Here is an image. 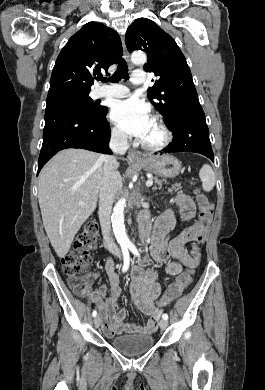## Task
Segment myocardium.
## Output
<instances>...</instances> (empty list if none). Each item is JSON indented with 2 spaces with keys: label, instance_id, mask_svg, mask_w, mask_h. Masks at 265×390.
<instances>
[{
  "label": "myocardium",
  "instance_id": "myocardium-1",
  "mask_svg": "<svg viewBox=\"0 0 265 390\" xmlns=\"http://www.w3.org/2000/svg\"><path fill=\"white\" fill-rule=\"evenodd\" d=\"M154 123L157 125V127L160 130L161 133V139L156 143H147L145 141H141L140 144L143 149L150 151V152H157L161 151L164 148H166L171 140H172V133L168 126L165 124V122L158 116H155L153 118Z\"/></svg>",
  "mask_w": 265,
  "mask_h": 390
}]
</instances>
